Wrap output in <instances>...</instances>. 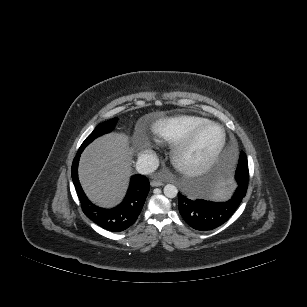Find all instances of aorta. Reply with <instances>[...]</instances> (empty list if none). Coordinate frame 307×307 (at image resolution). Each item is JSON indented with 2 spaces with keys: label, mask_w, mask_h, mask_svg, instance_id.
I'll list each match as a JSON object with an SVG mask.
<instances>
[{
  "label": "aorta",
  "mask_w": 307,
  "mask_h": 307,
  "mask_svg": "<svg viewBox=\"0 0 307 307\" xmlns=\"http://www.w3.org/2000/svg\"><path fill=\"white\" fill-rule=\"evenodd\" d=\"M178 194V189L173 184H167L164 187V195L167 198H175Z\"/></svg>",
  "instance_id": "762f6f07"
}]
</instances>
